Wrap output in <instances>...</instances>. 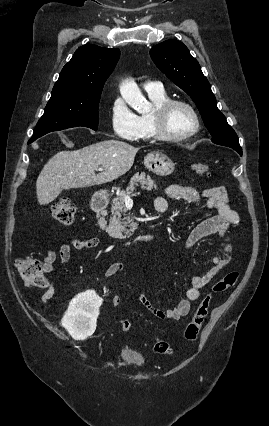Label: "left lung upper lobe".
Returning a JSON list of instances; mask_svg holds the SVG:
<instances>
[{"label": "left lung upper lobe", "mask_w": 269, "mask_h": 426, "mask_svg": "<svg viewBox=\"0 0 269 426\" xmlns=\"http://www.w3.org/2000/svg\"><path fill=\"white\" fill-rule=\"evenodd\" d=\"M156 66L195 102L216 144L240 148L238 137L218 110L217 102L198 61L180 41L170 39L150 50Z\"/></svg>", "instance_id": "obj_1"}]
</instances>
